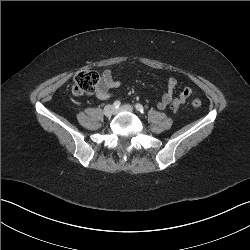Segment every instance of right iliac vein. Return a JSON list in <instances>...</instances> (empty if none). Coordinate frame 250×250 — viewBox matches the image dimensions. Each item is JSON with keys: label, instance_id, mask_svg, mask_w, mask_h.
Listing matches in <instances>:
<instances>
[{"label": "right iliac vein", "instance_id": "obj_1", "mask_svg": "<svg viewBox=\"0 0 250 250\" xmlns=\"http://www.w3.org/2000/svg\"><path fill=\"white\" fill-rule=\"evenodd\" d=\"M115 109L112 105H107L104 107L103 113L105 116L109 117L114 113Z\"/></svg>", "mask_w": 250, "mask_h": 250}]
</instances>
